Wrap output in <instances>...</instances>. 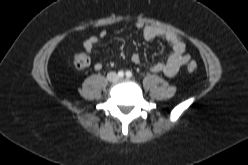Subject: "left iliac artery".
<instances>
[{
	"mask_svg": "<svg viewBox=\"0 0 248 165\" xmlns=\"http://www.w3.org/2000/svg\"><path fill=\"white\" fill-rule=\"evenodd\" d=\"M126 76H127L128 78H131V77H132V72H131V71H127V72H126Z\"/></svg>",
	"mask_w": 248,
	"mask_h": 165,
	"instance_id": "1",
	"label": "left iliac artery"
}]
</instances>
